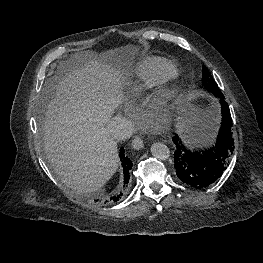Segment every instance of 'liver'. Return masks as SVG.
<instances>
[{"instance_id": "liver-1", "label": "liver", "mask_w": 263, "mask_h": 263, "mask_svg": "<svg viewBox=\"0 0 263 263\" xmlns=\"http://www.w3.org/2000/svg\"><path fill=\"white\" fill-rule=\"evenodd\" d=\"M125 49L97 59L80 55L53 86L54 96L46 106V156L61 180L81 193L101 189L119 166L117 143L106 126L123 101L120 69L131 60ZM182 112V126L197 119L191 109Z\"/></svg>"}]
</instances>
